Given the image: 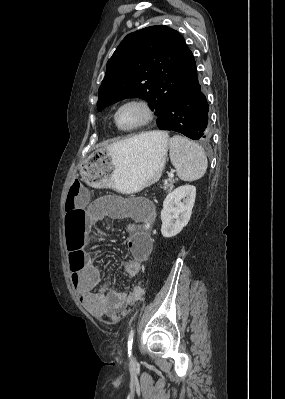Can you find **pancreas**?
<instances>
[{"label":"pancreas","instance_id":"pancreas-1","mask_svg":"<svg viewBox=\"0 0 285 399\" xmlns=\"http://www.w3.org/2000/svg\"><path fill=\"white\" fill-rule=\"evenodd\" d=\"M177 182V179L169 178L164 182L163 188L166 192H170L174 186V183Z\"/></svg>","mask_w":285,"mask_h":399}]
</instances>
